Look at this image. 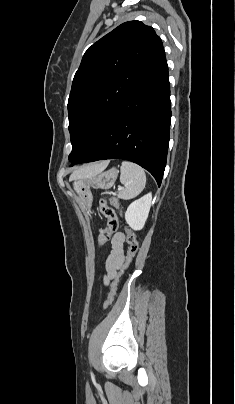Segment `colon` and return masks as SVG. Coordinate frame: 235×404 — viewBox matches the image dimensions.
<instances>
[{
  "label": "colon",
  "instance_id": "5ec220e1",
  "mask_svg": "<svg viewBox=\"0 0 235 404\" xmlns=\"http://www.w3.org/2000/svg\"><path fill=\"white\" fill-rule=\"evenodd\" d=\"M114 207H118V201L116 198L108 197V198H102L100 200V211L107 220L106 226L102 228L99 232L98 244L100 247L103 246L110 239L112 234L115 233L118 229L119 220L114 210ZM126 241L128 244V252L121 268L119 269V271L117 272L112 281L110 291L103 303L104 309L110 306L114 301L120 277L122 276L126 268L129 266V264L131 263L132 259L135 257L139 249L136 235L129 228H126Z\"/></svg>",
  "mask_w": 235,
  "mask_h": 404
}]
</instances>
